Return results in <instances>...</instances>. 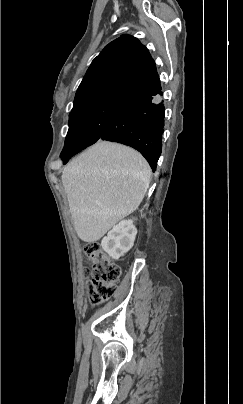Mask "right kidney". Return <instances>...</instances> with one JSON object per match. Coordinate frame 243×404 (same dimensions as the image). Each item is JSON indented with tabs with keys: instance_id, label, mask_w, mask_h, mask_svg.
Segmentation results:
<instances>
[{
	"instance_id": "ca27d5eb",
	"label": "right kidney",
	"mask_w": 243,
	"mask_h": 404,
	"mask_svg": "<svg viewBox=\"0 0 243 404\" xmlns=\"http://www.w3.org/2000/svg\"><path fill=\"white\" fill-rule=\"evenodd\" d=\"M136 234L133 220H122L103 238L101 246L112 260H119L134 246Z\"/></svg>"
}]
</instances>
